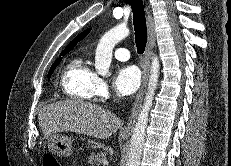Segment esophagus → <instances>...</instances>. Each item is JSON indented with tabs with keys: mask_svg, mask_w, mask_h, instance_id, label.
<instances>
[{
	"mask_svg": "<svg viewBox=\"0 0 231 166\" xmlns=\"http://www.w3.org/2000/svg\"><path fill=\"white\" fill-rule=\"evenodd\" d=\"M147 27H148V41H147L146 51L143 57V62H142V70H143L142 71V83H141L139 92L136 95L135 102L132 108L131 115L128 119V122L121 131V133L123 134H128L132 131L133 126L137 120L138 114L140 112L143 97L146 91L148 75H149V70H150L151 54H152V50L156 42L155 26H154L153 17L151 15L149 7H147Z\"/></svg>",
	"mask_w": 231,
	"mask_h": 166,
	"instance_id": "esophagus-1",
	"label": "esophagus"
}]
</instances>
